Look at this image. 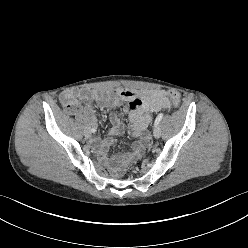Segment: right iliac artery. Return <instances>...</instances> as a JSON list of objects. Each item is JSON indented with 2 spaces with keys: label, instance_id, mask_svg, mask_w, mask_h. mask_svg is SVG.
<instances>
[{
  "label": "right iliac artery",
  "instance_id": "right-iliac-artery-1",
  "mask_svg": "<svg viewBox=\"0 0 248 248\" xmlns=\"http://www.w3.org/2000/svg\"><path fill=\"white\" fill-rule=\"evenodd\" d=\"M92 132H94L95 130L94 129H91Z\"/></svg>",
  "mask_w": 248,
  "mask_h": 248
}]
</instances>
